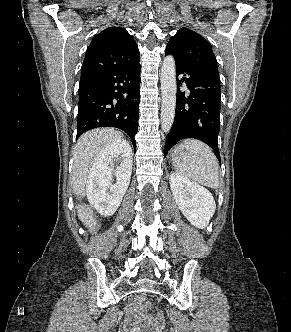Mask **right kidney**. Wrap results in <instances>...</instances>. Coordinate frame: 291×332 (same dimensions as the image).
<instances>
[{
  "label": "right kidney",
  "mask_w": 291,
  "mask_h": 332,
  "mask_svg": "<svg viewBox=\"0 0 291 332\" xmlns=\"http://www.w3.org/2000/svg\"><path fill=\"white\" fill-rule=\"evenodd\" d=\"M131 171L132 153L126 141L114 142L100 152L86 184L87 198L100 214L111 216L116 212L129 186ZM112 175L116 176L115 184Z\"/></svg>",
  "instance_id": "ca27d5eb"
}]
</instances>
